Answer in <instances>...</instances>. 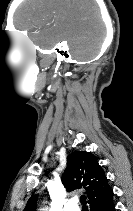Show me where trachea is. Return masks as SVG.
<instances>
[{
    "mask_svg": "<svg viewBox=\"0 0 133 211\" xmlns=\"http://www.w3.org/2000/svg\"><path fill=\"white\" fill-rule=\"evenodd\" d=\"M80 202H81L82 205H83V209H86L87 206H86V196H85V195H82V196L80 197Z\"/></svg>",
    "mask_w": 133,
    "mask_h": 211,
    "instance_id": "1",
    "label": "trachea"
}]
</instances>
